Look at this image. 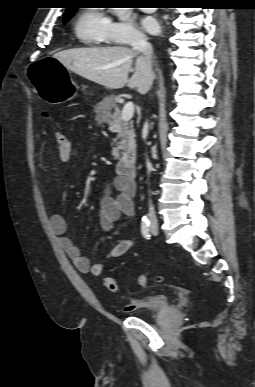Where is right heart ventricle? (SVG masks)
<instances>
[{
  "label": "right heart ventricle",
  "instance_id": "e07e8e85",
  "mask_svg": "<svg viewBox=\"0 0 255 387\" xmlns=\"http://www.w3.org/2000/svg\"><path fill=\"white\" fill-rule=\"evenodd\" d=\"M107 15L102 10L88 9L79 14L74 24L76 37L86 45H103L108 43Z\"/></svg>",
  "mask_w": 255,
  "mask_h": 387
}]
</instances>
